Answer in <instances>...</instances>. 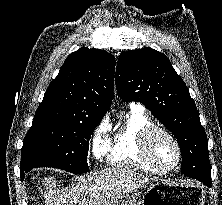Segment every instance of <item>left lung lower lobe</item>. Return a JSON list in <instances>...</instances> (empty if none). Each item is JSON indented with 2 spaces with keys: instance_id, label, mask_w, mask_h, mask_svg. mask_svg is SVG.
<instances>
[{
  "instance_id": "obj_1",
  "label": "left lung lower lobe",
  "mask_w": 222,
  "mask_h": 205,
  "mask_svg": "<svg viewBox=\"0 0 222 205\" xmlns=\"http://www.w3.org/2000/svg\"><path fill=\"white\" fill-rule=\"evenodd\" d=\"M204 167V161L194 152L182 153V174L195 178L210 187L211 181H202L200 178L201 170L204 169Z\"/></svg>"
}]
</instances>
